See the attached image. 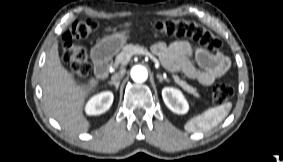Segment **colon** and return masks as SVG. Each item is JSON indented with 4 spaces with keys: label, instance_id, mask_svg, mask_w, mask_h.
Listing matches in <instances>:
<instances>
[{
    "label": "colon",
    "instance_id": "1",
    "mask_svg": "<svg viewBox=\"0 0 283 162\" xmlns=\"http://www.w3.org/2000/svg\"><path fill=\"white\" fill-rule=\"evenodd\" d=\"M97 29L94 20L75 22L63 35L62 58L69 65L73 77L85 78L90 70L86 47L81 43ZM154 32L161 36L187 37L205 46L209 50L219 51L221 40L202 25L184 19L158 20L153 25ZM234 94V88L228 83H217L212 89V99L216 104H223Z\"/></svg>",
    "mask_w": 283,
    "mask_h": 162
}]
</instances>
